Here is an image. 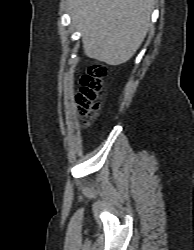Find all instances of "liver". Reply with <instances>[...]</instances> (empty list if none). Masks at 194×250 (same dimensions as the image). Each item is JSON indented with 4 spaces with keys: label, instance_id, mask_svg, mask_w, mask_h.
<instances>
[{
    "label": "liver",
    "instance_id": "1",
    "mask_svg": "<svg viewBox=\"0 0 194 250\" xmlns=\"http://www.w3.org/2000/svg\"><path fill=\"white\" fill-rule=\"evenodd\" d=\"M154 0H68L87 57L119 65L139 49L151 25Z\"/></svg>",
    "mask_w": 194,
    "mask_h": 250
}]
</instances>
